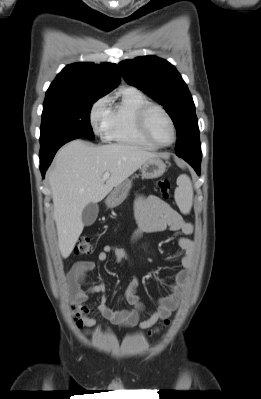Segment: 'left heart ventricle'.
<instances>
[{"label": "left heart ventricle", "instance_id": "b2bd125f", "mask_svg": "<svg viewBox=\"0 0 261 399\" xmlns=\"http://www.w3.org/2000/svg\"><path fill=\"white\" fill-rule=\"evenodd\" d=\"M148 130L157 142L167 144L172 140L173 134L169 121L159 110H152L147 117Z\"/></svg>", "mask_w": 261, "mask_h": 399}]
</instances>
